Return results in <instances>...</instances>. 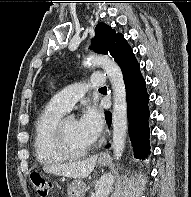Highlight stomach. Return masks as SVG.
<instances>
[{
  "instance_id": "stomach-1",
  "label": "stomach",
  "mask_w": 191,
  "mask_h": 197,
  "mask_svg": "<svg viewBox=\"0 0 191 197\" xmlns=\"http://www.w3.org/2000/svg\"><path fill=\"white\" fill-rule=\"evenodd\" d=\"M100 166L108 165V160H101L98 161ZM86 191V185L81 179H76L72 181L67 189L68 197H83Z\"/></svg>"
}]
</instances>
